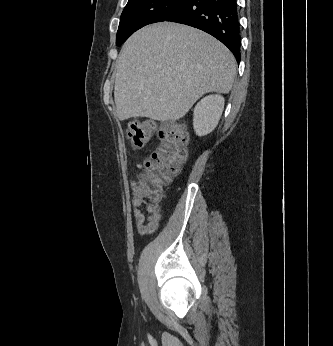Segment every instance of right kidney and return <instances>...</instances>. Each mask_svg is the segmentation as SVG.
Wrapping results in <instances>:
<instances>
[{"mask_svg":"<svg viewBox=\"0 0 333 346\" xmlns=\"http://www.w3.org/2000/svg\"><path fill=\"white\" fill-rule=\"evenodd\" d=\"M224 98L220 95L204 97L194 108L193 127L198 136L212 132L224 109Z\"/></svg>","mask_w":333,"mask_h":346,"instance_id":"ca27d5eb","label":"right kidney"}]
</instances>
